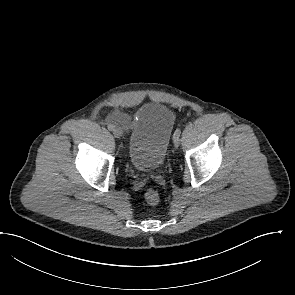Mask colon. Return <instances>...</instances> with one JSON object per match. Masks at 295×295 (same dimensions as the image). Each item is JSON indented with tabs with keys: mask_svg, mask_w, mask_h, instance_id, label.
<instances>
[{
	"mask_svg": "<svg viewBox=\"0 0 295 295\" xmlns=\"http://www.w3.org/2000/svg\"><path fill=\"white\" fill-rule=\"evenodd\" d=\"M145 200L150 205H156L159 202V194L154 189H149L145 193Z\"/></svg>",
	"mask_w": 295,
	"mask_h": 295,
	"instance_id": "obj_1",
	"label": "colon"
}]
</instances>
